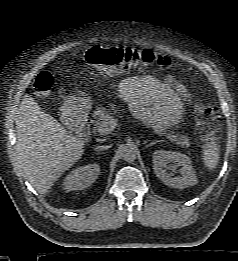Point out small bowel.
<instances>
[{"mask_svg":"<svg viewBox=\"0 0 238 261\" xmlns=\"http://www.w3.org/2000/svg\"><path fill=\"white\" fill-rule=\"evenodd\" d=\"M116 93L131 111L155 129L178 125L183 117L189 93L172 77L158 80L151 76H132L116 86Z\"/></svg>","mask_w":238,"mask_h":261,"instance_id":"c3829d8e","label":"small bowel"}]
</instances>
